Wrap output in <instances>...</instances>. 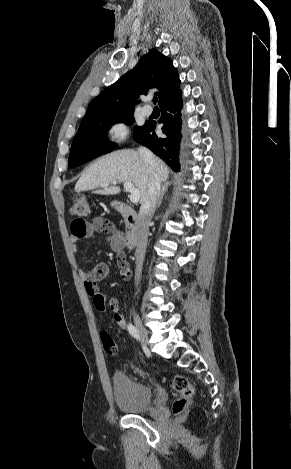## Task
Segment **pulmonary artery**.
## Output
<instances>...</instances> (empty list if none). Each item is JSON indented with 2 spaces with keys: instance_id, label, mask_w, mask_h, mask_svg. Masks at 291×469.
<instances>
[{
  "instance_id": "e3ab8cb5",
  "label": "pulmonary artery",
  "mask_w": 291,
  "mask_h": 469,
  "mask_svg": "<svg viewBox=\"0 0 291 469\" xmlns=\"http://www.w3.org/2000/svg\"><path fill=\"white\" fill-rule=\"evenodd\" d=\"M152 111H153V110H152L151 106H149V105H145V106L143 107V113H144L145 115H151V114H152Z\"/></svg>"
}]
</instances>
